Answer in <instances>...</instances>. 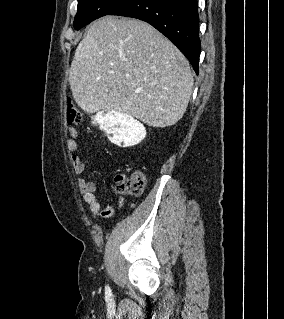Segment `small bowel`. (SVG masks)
<instances>
[{"instance_id":"small-bowel-1","label":"small bowel","mask_w":284,"mask_h":319,"mask_svg":"<svg viewBox=\"0 0 284 319\" xmlns=\"http://www.w3.org/2000/svg\"><path fill=\"white\" fill-rule=\"evenodd\" d=\"M68 134L71 138L67 141V148L71 155V163L73 166V170L76 175L81 174L84 171V164L77 155L80 150L79 143L76 140L77 131L73 127H69L67 129ZM101 163H103V159H99ZM78 188L84 202L89 206L92 218H109L113 216L115 210L114 207L110 204L101 206L96 195V184L93 181H88L82 178L78 179ZM124 204V198L119 197V208H121Z\"/></svg>"}]
</instances>
